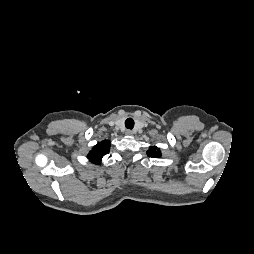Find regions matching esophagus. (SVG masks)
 <instances>
[{
	"instance_id": "1",
	"label": "esophagus",
	"mask_w": 254,
	"mask_h": 254,
	"mask_svg": "<svg viewBox=\"0 0 254 254\" xmlns=\"http://www.w3.org/2000/svg\"><path fill=\"white\" fill-rule=\"evenodd\" d=\"M125 134L128 135V136H131V135H133V131L127 129V130L125 131Z\"/></svg>"
}]
</instances>
